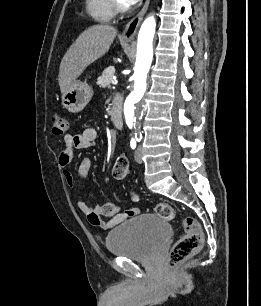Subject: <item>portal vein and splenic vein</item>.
Masks as SVG:
<instances>
[{
  "label": "portal vein and splenic vein",
  "mask_w": 261,
  "mask_h": 306,
  "mask_svg": "<svg viewBox=\"0 0 261 306\" xmlns=\"http://www.w3.org/2000/svg\"><path fill=\"white\" fill-rule=\"evenodd\" d=\"M113 85H116L118 83V81L116 79L112 80L111 82Z\"/></svg>",
  "instance_id": "obj_1"
}]
</instances>
